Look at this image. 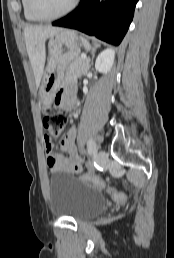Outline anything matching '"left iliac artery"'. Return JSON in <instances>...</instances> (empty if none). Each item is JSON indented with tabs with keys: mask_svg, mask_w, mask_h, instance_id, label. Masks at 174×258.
Listing matches in <instances>:
<instances>
[{
	"mask_svg": "<svg viewBox=\"0 0 174 258\" xmlns=\"http://www.w3.org/2000/svg\"><path fill=\"white\" fill-rule=\"evenodd\" d=\"M87 151L89 155H94L97 151L96 144L93 139H89L87 142Z\"/></svg>",
	"mask_w": 174,
	"mask_h": 258,
	"instance_id": "44dca946",
	"label": "left iliac artery"
}]
</instances>
